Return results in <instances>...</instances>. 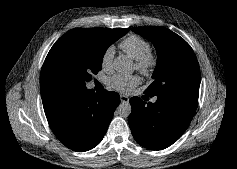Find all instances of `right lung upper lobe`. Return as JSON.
<instances>
[{"mask_svg": "<svg viewBox=\"0 0 237 169\" xmlns=\"http://www.w3.org/2000/svg\"><path fill=\"white\" fill-rule=\"evenodd\" d=\"M129 29H106V28H76L72 29L69 32H79L90 36H97L101 38H109L118 33H127ZM124 34V35H125ZM50 88L46 85H40L41 95L48 91Z\"/></svg>", "mask_w": 237, "mask_h": 169, "instance_id": "1", "label": "right lung upper lobe"}]
</instances>
